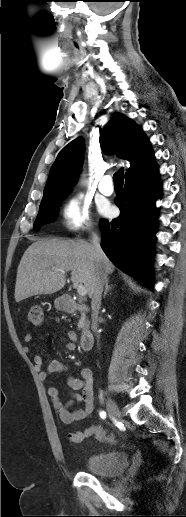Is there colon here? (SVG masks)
<instances>
[{
    "mask_svg": "<svg viewBox=\"0 0 186 517\" xmlns=\"http://www.w3.org/2000/svg\"><path fill=\"white\" fill-rule=\"evenodd\" d=\"M28 318H29V321L32 325L34 326H40L42 323H43V320H44V315H43V310L40 306L38 305H34L30 308L29 310V315H28ZM100 440H107V441H110L112 442L113 441V437L106 434L105 432H102L100 434Z\"/></svg>",
    "mask_w": 186,
    "mask_h": 517,
    "instance_id": "1",
    "label": "colon"
}]
</instances>
